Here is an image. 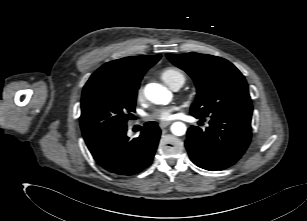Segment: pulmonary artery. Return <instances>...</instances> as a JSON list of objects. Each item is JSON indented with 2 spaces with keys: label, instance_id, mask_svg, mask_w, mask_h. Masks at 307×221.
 Segmentation results:
<instances>
[{
  "label": "pulmonary artery",
  "instance_id": "1",
  "mask_svg": "<svg viewBox=\"0 0 307 221\" xmlns=\"http://www.w3.org/2000/svg\"><path fill=\"white\" fill-rule=\"evenodd\" d=\"M182 85L181 84H176L175 86L172 87L173 90H178Z\"/></svg>",
  "mask_w": 307,
  "mask_h": 221
}]
</instances>
